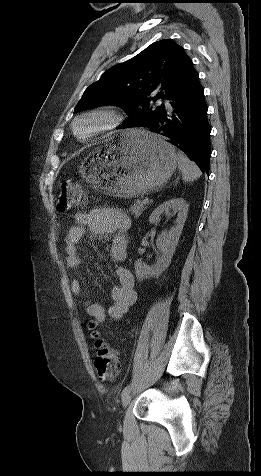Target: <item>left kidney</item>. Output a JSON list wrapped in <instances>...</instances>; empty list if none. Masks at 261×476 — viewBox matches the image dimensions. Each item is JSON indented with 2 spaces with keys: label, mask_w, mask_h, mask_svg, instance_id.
Instances as JSON below:
<instances>
[{
  "label": "left kidney",
  "mask_w": 261,
  "mask_h": 476,
  "mask_svg": "<svg viewBox=\"0 0 261 476\" xmlns=\"http://www.w3.org/2000/svg\"><path fill=\"white\" fill-rule=\"evenodd\" d=\"M188 206L184 199L172 198L163 202L151 213L149 222L152 224H156L163 213H169L171 210L177 212L178 215L175 225L168 232H162L156 240L158 249L156 263L148 266L141 260L135 261L134 268L137 279L143 280L149 277H158L169 267L187 218Z\"/></svg>",
  "instance_id": "1"
}]
</instances>
